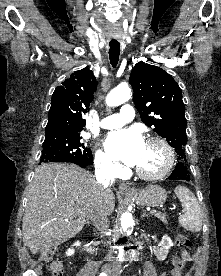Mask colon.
<instances>
[{"mask_svg": "<svg viewBox=\"0 0 221 276\" xmlns=\"http://www.w3.org/2000/svg\"><path fill=\"white\" fill-rule=\"evenodd\" d=\"M180 250L188 252L192 248V241L185 235H179L176 240ZM55 247L45 246L40 253V259L45 262L47 269L52 276H64V266L60 260L54 258ZM161 276H167L163 273Z\"/></svg>", "mask_w": 221, "mask_h": 276, "instance_id": "colon-1", "label": "colon"}]
</instances>
